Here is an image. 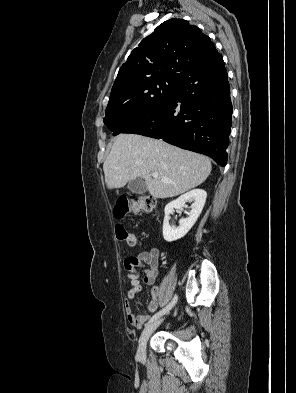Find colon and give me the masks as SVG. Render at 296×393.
Returning <instances> with one entry per match:
<instances>
[{"instance_id":"obj_1","label":"colon","mask_w":296,"mask_h":393,"mask_svg":"<svg viewBox=\"0 0 296 393\" xmlns=\"http://www.w3.org/2000/svg\"><path fill=\"white\" fill-rule=\"evenodd\" d=\"M133 209L135 212H151L156 207V201L154 198L149 196L139 197L133 203ZM129 211L128 201L126 199L120 200L117 204L116 213L118 216H124ZM116 237L126 242L129 246L135 247L137 245V239L134 233L128 231L121 225L115 227Z\"/></svg>"}]
</instances>
